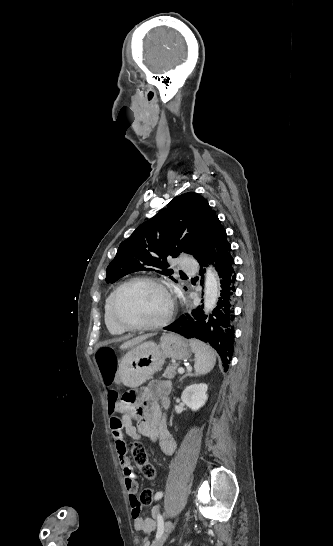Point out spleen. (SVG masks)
<instances>
[{"mask_svg": "<svg viewBox=\"0 0 333 546\" xmlns=\"http://www.w3.org/2000/svg\"><path fill=\"white\" fill-rule=\"evenodd\" d=\"M190 347L195 355L194 369L197 375H204L210 372L215 365L216 355L214 350L199 340H191Z\"/></svg>", "mask_w": 333, "mask_h": 546, "instance_id": "3e777b00", "label": "spleen"}]
</instances>
